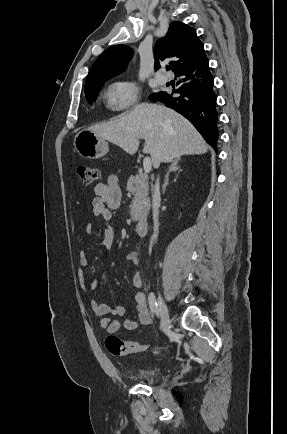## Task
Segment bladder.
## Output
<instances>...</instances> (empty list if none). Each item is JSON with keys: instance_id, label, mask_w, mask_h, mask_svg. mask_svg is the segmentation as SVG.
I'll list each match as a JSON object with an SVG mask.
<instances>
[{"instance_id": "obj_1", "label": "bladder", "mask_w": 287, "mask_h": 434, "mask_svg": "<svg viewBox=\"0 0 287 434\" xmlns=\"http://www.w3.org/2000/svg\"><path fill=\"white\" fill-rule=\"evenodd\" d=\"M161 374L160 368H141L137 370L133 377L138 381L150 383L154 381Z\"/></svg>"}]
</instances>
